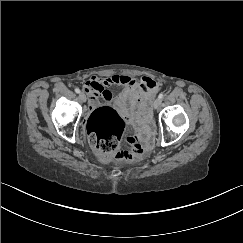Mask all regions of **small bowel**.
Returning <instances> with one entry per match:
<instances>
[{"instance_id":"obj_1","label":"small bowel","mask_w":243,"mask_h":243,"mask_svg":"<svg viewBox=\"0 0 243 243\" xmlns=\"http://www.w3.org/2000/svg\"><path fill=\"white\" fill-rule=\"evenodd\" d=\"M112 85L121 87L115 97L109 90ZM84 89L88 93L91 109L99 105L101 97L105 103L114 106L126 120L136 122L138 105L142 100L151 99L159 87L154 79L147 76L138 82L129 76L113 75L107 78L93 76L85 82Z\"/></svg>"}]
</instances>
